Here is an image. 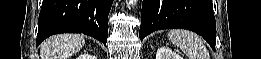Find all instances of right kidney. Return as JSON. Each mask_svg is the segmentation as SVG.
<instances>
[{
    "label": "right kidney",
    "instance_id": "right-kidney-1",
    "mask_svg": "<svg viewBox=\"0 0 261 59\" xmlns=\"http://www.w3.org/2000/svg\"><path fill=\"white\" fill-rule=\"evenodd\" d=\"M78 59H96L95 56L89 55V54H83L78 57Z\"/></svg>",
    "mask_w": 261,
    "mask_h": 59
}]
</instances>
